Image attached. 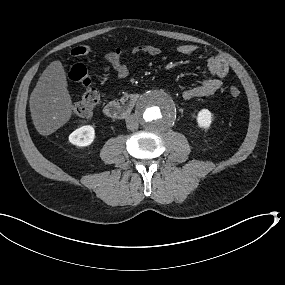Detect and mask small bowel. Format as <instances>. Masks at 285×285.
Returning <instances> with one entry per match:
<instances>
[{
  "label": "small bowel",
  "mask_w": 285,
  "mask_h": 285,
  "mask_svg": "<svg viewBox=\"0 0 285 285\" xmlns=\"http://www.w3.org/2000/svg\"><path fill=\"white\" fill-rule=\"evenodd\" d=\"M176 51L183 55H190L196 51V46L190 44L179 45ZM161 53L160 48L151 44L138 45L130 48H117L105 55L106 61L112 66L119 79H124L129 74V68L123 58L127 55L145 54L157 56ZM209 77L201 83L183 91L186 100L207 98L213 96L222 87V79L228 72L227 62L220 56H213L207 60Z\"/></svg>",
  "instance_id": "obj_1"
}]
</instances>
